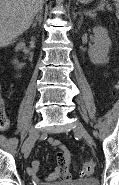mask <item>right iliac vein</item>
Returning <instances> with one entry per match:
<instances>
[{
    "instance_id": "right-iliac-vein-1",
    "label": "right iliac vein",
    "mask_w": 119,
    "mask_h": 185,
    "mask_svg": "<svg viewBox=\"0 0 119 185\" xmlns=\"http://www.w3.org/2000/svg\"><path fill=\"white\" fill-rule=\"evenodd\" d=\"M37 134H38V130L35 127H33L29 132V136L27 138V143H26V146L23 150L25 158H27L29 156L31 149L33 147V144L37 138Z\"/></svg>"
}]
</instances>
